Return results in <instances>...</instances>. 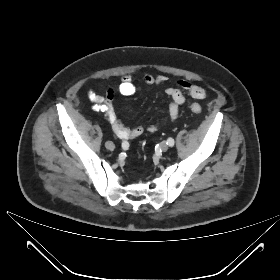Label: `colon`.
<instances>
[{"label":"colon","mask_w":280,"mask_h":280,"mask_svg":"<svg viewBox=\"0 0 280 280\" xmlns=\"http://www.w3.org/2000/svg\"><path fill=\"white\" fill-rule=\"evenodd\" d=\"M190 109L193 113H200L201 110H202L201 106L199 104H196V103L192 104L190 106Z\"/></svg>","instance_id":"5ec220e1"}]
</instances>
